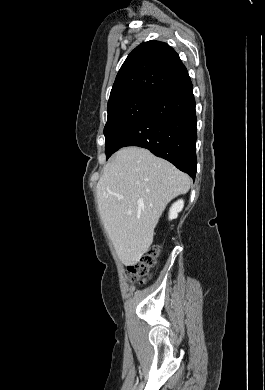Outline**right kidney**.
Segmentation results:
<instances>
[{
  "label": "right kidney",
  "instance_id": "1",
  "mask_svg": "<svg viewBox=\"0 0 265 390\" xmlns=\"http://www.w3.org/2000/svg\"><path fill=\"white\" fill-rule=\"evenodd\" d=\"M184 207V201L181 199V200H178L177 202H175L171 208H170V211H169V220H172V219H175L177 218L178 216V213L183 209Z\"/></svg>",
  "mask_w": 265,
  "mask_h": 390
}]
</instances>
